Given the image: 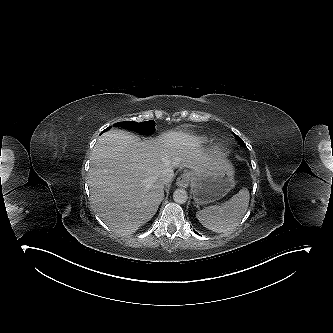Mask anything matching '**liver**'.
Segmentation results:
<instances>
[{"label":"liver","instance_id":"6515ba94","mask_svg":"<svg viewBox=\"0 0 333 333\" xmlns=\"http://www.w3.org/2000/svg\"><path fill=\"white\" fill-rule=\"evenodd\" d=\"M90 160L92 207L110 229L123 235L136 232L157 212L164 198L165 184L159 180L163 168L183 166L198 174L230 166L205 155L196 137L174 131L150 140L107 131L97 140Z\"/></svg>","mask_w":333,"mask_h":333}]
</instances>
